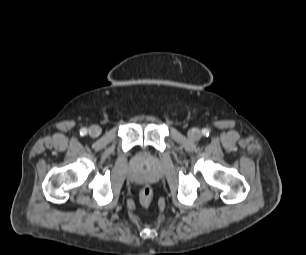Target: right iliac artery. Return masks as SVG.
Listing matches in <instances>:
<instances>
[{
  "label": "right iliac artery",
  "mask_w": 306,
  "mask_h": 255,
  "mask_svg": "<svg viewBox=\"0 0 306 255\" xmlns=\"http://www.w3.org/2000/svg\"><path fill=\"white\" fill-rule=\"evenodd\" d=\"M80 134H81L82 136L86 135V134H87L86 128H82V129L80 130Z\"/></svg>",
  "instance_id": "82829eb1"
}]
</instances>
